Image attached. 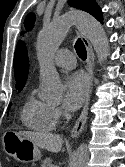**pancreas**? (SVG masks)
<instances>
[{
    "label": "pancreas",
    "mask_w": 125,
    "mask_h": 167,
    "mask_svg": "<svg viewBox=\"0 0 125 167\" xmlns=\"http://www.w3.org/2000/svg\"><path fill=\"white\" fill-rule=\"evenodd\" d=\"M53 163V160L51 158H45L43 161H42V165L41 167H52Z\"/></svg>",
    "instance_id": "pancreas-1"
}]
</instances>
